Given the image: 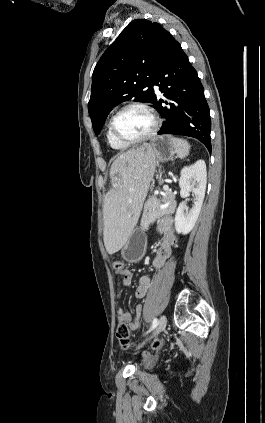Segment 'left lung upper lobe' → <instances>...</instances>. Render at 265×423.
I'll return each instance as SVG.
<instances>
[{
	"label": "left lung upper lobe",
	"instance_id": "left-lung-upper-lobe-1",
	"mask_svg": "<svg viewBox=\"0 0 265 423\" xmlns=\"http://www.w3.org/2000/svg\"><path fill=\"white\" fill-rule=\"evenodd\" d=\"M169 34L156 22L136 19L104 52L92 75L88 103L95 134L119 103L131 98L153 103L152 82Z\"/></svg>",
	"mask_w": 265,
	"mask_h": 423
}]
</instances>
